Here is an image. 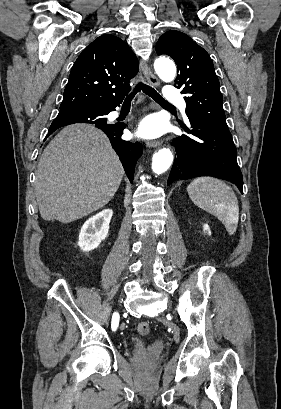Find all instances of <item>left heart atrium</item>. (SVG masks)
Listing matches in <instances>:
<instances>
[{
    "instance_id": "obj_1",
    "label": "left heart atrium",
    "mask_w": 281,
    "mask_h": 409,
    "mask_svg": "<svg viewBox=\"0 0 281 409\" xmlns=\"http://www.w3.org/2000/svg\"><path fill=\"white\" fill-rule=\"evenodd\" d=\"M164 130L165 124L156 114L144 117L137 125V135L143 139L158 138L164 133Z\"/></svg>"
}]
</instances>
